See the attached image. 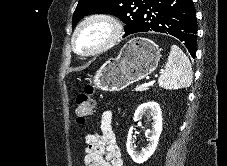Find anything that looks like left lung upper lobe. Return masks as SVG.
Masks as SVG:
<instances>
[{"label": "left lung upper lobe", "instance_id": "1", "mask_svg": "<svg viewBox=\"0 0 227 166\" xmlns=\"http://www.w3.org/2000/svg\"><path fill=\"white\" fill-rule=\"evenodd\" d=\"M147 0H79L72 19V27L86 15L95 13L112 14L125 24V36L135 33Z\"/></svg>", "mask_w": 227, "mask_h": 166}]
</instances>
